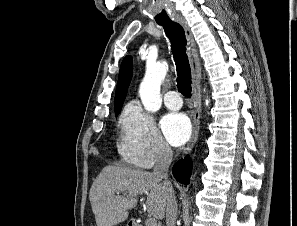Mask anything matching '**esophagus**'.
Masks as SVG:
<instances>
[{
  "mask_svg": "<svg viewBox=\"0 0 297 226\" xmlns=\"http://www.w3.org/2000/svg\"><path fill=\"white\" fill-rule=\"evenodd\" d=\"M175 21L179 23L186 35L187 45L186 52L190 62L192 72V101H193V131L191 138L186 147V153H190L197 141L199 128H200V113H201V90H200V78L201 68L198 51L193 38L192 31L183 17H176Z\"/></svg>",
  "mask_w": 297,
  "mask_h": 226,
  "instance_id": "1",
  "label": "esophagus"
}]
</instances>
